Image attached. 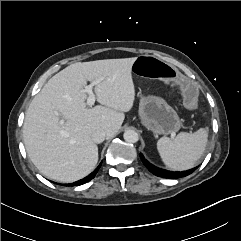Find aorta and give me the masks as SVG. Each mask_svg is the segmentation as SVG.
Returning a JSON list of instances; mask_svg holds the SVG:
<instances>
[{"label":"aorta","mask_w":241,"mask_h":241,"mask_svg":"<svg viewBox=\"0 0 241 241\" xmlns=\"http://www.w3.org/2000/svg\"><path fill=\"white\" fill-rule=\"evenodd\" d=\"M123 137L128 143H136L139 140L138 133L134 130H126L123 134Z\"/></svg>","instance_id":"762f6f07"}]
</instances>
